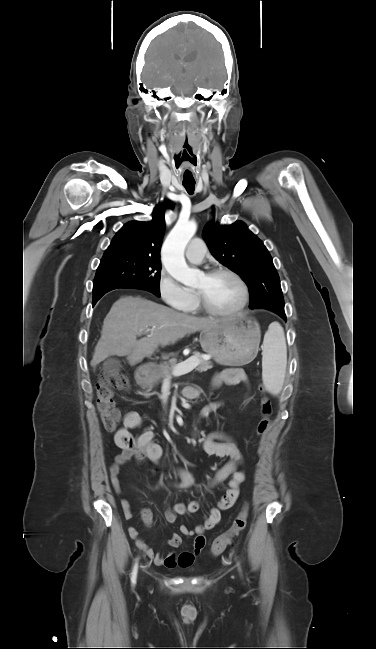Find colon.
Instances as JSON below:
<instances>
[{
    "label": "colon",
    "mask_w": 376,
    "mask_h": 649,
    "mask_svg": "<svg viewBox=\"0 0 376 649\" xmlns=\"http://www.w3.org/2000/svg\"><path fill=\"white\" fill-rule=\"evenodd\" d=\"M129 389L128 378L121 373H114L109 376H103L97 387V409L100 414L102 423L106 430L113 431L120 421V412L115 408L113 402V391ZM263 396L260 401L261 417L257 422L256 431L260 437L268 433L271 427V404L265 395L264 387L260 388ZM248 519V506L244 505L241 511L234 518L230 529L216 538L211 545L213 555H220L225 548L232 542L233 538L241 534L245 529Z\"/></svg>",
    "instance_id": "5ec220e1"
}]
</instances>
